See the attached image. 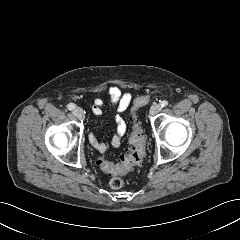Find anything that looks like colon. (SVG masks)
<instances>
[{"mask_svg": "<svg viewBox=\"0 0 240 240\" xmlns=\"http://www.w3.org/2000/svg\"><path fill=\"white\" fill-rule=\"evenodd\" d=\"M149 102V96L141 95L136 98L132 105V121L135 120L134 111L146 105ZM145 155V137L142 129L134 125L129 138V146L121 156V161L118 164L112 163L104 158H100L98 163L100 168L110 176L109 185L112 189H120L124 185L122 175L139 165Z\"/></svg>", "mask_w": 240, "mask_h": 240, "instance_id": "1", "label": "colon"}]
</instances>
